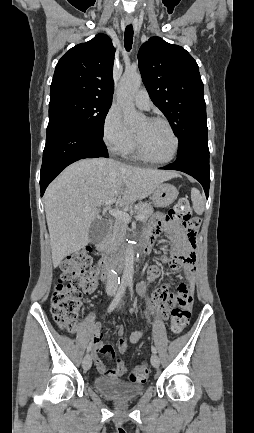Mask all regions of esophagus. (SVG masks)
<instances>
[{
  "label": "esophagus",
  "mask_w": 254,
  "mask_h": 433,
  "mask_svg": "<svg viewBox=\"0 0 254 433\" xmlns=\"http://www.w3.org/2000/svg\"><path fill=\"white\" fill-rule=\"evenodd\" d=\"M126 24H131L133 22L132 18H126L125 20Z\"/></svg>",
  "instance_id": "1"
}]
</instances>
